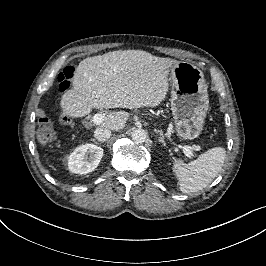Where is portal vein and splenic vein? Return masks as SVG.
<instances>
[{
	"instance_id": "1",
	"label": "portal vein and splenic vein",
	"mask_w": 266,
	"mask_h": 266,
	"mask_svg": "<svg viewBox=\"0 0 266 266\" xmlns=\"http://www.w3.org/2000/svg\"><path fill=\"white\" fill-rule=\"evenodd\" d=\"M104 117H105V116H104L103 114H95V115L93 116V123L96 124V125L102 123V122L104 121ZM183 152H184V154H185L187 157H191V156H193V153H192V151H191V148L188 147V146H184V147H183Z\"/></svg>"
}]
</instances>
